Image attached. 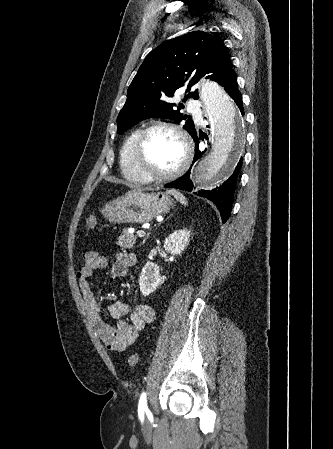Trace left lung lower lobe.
<instances>
[{
	"label": "left lung lower lobe",
	"mask_w": 333,
	"mask_h": 449,
	"mask_svg": "<svg viewBox=\"0 0 333 449\" xmlns=\"http://www.w3.org/2000/svg\"><path fill=\"white\" fill-rule=\"evenodd\" d=\"M221 86L224 87L226 92L236 102L242 115H244L243 107H242V95L237 88L236 76H235L234 72H232L224 80V82ZM191 136L196 145V154H195L194 161H193V162H195L203 155L204 151L199 150V139H201V138L197 136V133H193ZM241 167H242V158L240 159L239 163L237 164L234 173L221 186H219L213 190L202 189V190L194 193L198 196L207 198L216 204V206L218 207V209L220 211L223 223L227 221L228 217L230 216L231 210H232L234 191H235L238 174H239ZM165 187L178 188V189H182V190H186V191H191L193 188V183L190 179V170H188L182 177L178 178L177 180H175L169 184H166Z\"/></svg>",
	"instance_id": "obj_1"
}]
</instances>
